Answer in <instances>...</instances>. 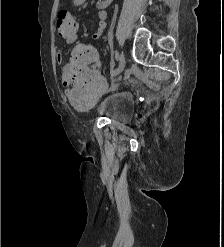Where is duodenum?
Returning a JSON list of instances; mask_svg holds the SVG:
<instances>
[{
  "instance_id": "410a0bca",
  "label": "duodenum",
  "mask_w": 224,
  "mask_h": 247,
  "mask_svg": "<svg viewBox=\"0 0 224 247\" xmlns=\"http://www.w3.org/2000/svg\"><path fill=\"white\" fill-rule=\"evenodd\" d=\"M112 2V0H99V7L100 9H105L109 6V4Z\"/></svg>"
}]
</instances>
